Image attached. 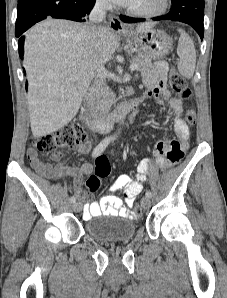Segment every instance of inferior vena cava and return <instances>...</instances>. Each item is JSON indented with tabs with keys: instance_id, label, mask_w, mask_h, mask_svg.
Segmentation results:
<instances>
[{
	"instance_id": "inferior-vena-cava-1",
	"label": "inferior vena cava",
	"mask_w": 227,
	"mask_h": 298,
	"mask_svg": "<svg viewBox=\"0 0 227 298\" xmlns=\"http://www.w3.org/2000/svg\"><path fill=\"white\" fill-rule=\"evenodd\" d=\"M109 0H96V4L89 15V24L85 27L84 31L88 40L94 43L97 40V33L99 27L96 25L105 17L106 10L110 8ZM105 82V67L103 64H98L95 74V84L99 89Z\"/></svg>"
}]
</instances>
